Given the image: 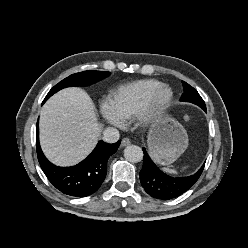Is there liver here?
<instances>
[{
  "label": "liver",
  "mask_w": 248,
  "mask_h": 248,
  "mask_svg": "<svg viewBox=\"0 0 248 248\" xmlns=\"http://www.w3.org/2000/svg\"><path fill=\"white\" fill-rule=\"evenodd\" d=\"M39 126L42 150L59 166L86 158L97 144L102 127L92 99L80 88L53 95L41 109Z\"/></svg>",
  "instance_id": "liver-1"
}]
</instances>
